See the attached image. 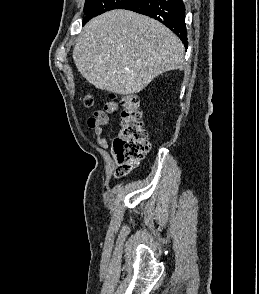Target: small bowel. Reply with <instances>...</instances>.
Listing matches in <instances>:
<instances>
[{
	"instance_id": "1",
	"label": "small bowel",
	"mask_w": 259,
	"mask_h": 294,
	"mask_svg": "<svg viewBox=\"0 0 259 294\" xmlns=\"http://www.w3.org/2000/svg\"><path fill=\"white\" fill-rule=\"evenodd\" d=\"M119 105L115 101L106 103L103 110L94 112L87 120V126L94 131L95 141L101 148H107L108 142L103 133V126L109 122V115L116 114Z\"/></svg>"
}]
</instances>
